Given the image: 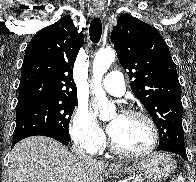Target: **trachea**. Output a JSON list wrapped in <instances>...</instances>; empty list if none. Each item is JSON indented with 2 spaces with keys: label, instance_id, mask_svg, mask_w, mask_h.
<instances>
[{
  "label": "trachea",
  "instance_id": "3493384b",
  "mask_svg": "<svg viewBox=\"0 0 196 182\" xmlns=\"http://www.w3.org/2000/svg\"><path fill=\"white\" fill-rule=\"evenodd\" d=\"M101 34H102V23L100 18L96 17L90 23V27H89L90 40L93 43H98L101 38Z\"/></svg>",
  "mask_w": 196,
  "mask_h": 182
}]
</instances>
